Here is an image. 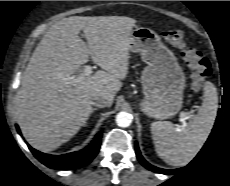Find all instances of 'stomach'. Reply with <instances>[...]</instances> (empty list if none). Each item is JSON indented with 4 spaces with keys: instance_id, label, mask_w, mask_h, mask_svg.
Here are the masks:
<instances>
[{
    "instance_id": "stomach-1",
    "label": "stomach",
    "mask_w": 230,
    "mask_h": 186,
    "mask_svg": "<svg viewBox=\"0 0 230 186\" xmlns=\"http://www.w3.org/2000/svg\"><path fill=\"white\" fill-rule=\"evenodd\" d=\"M131 52L139 53L147 64L141 76L144 99L141 111L155 119L174 116L183 104L186 78L177 58L158 34L146 27H136L131 33Z\"/></svg>"
}]
</instances>
